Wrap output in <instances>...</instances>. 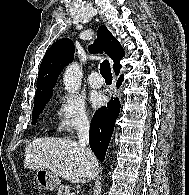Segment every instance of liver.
Instances as JSON below:
<instances>
[{
    "label": "liver",
    "mask_w": 189,
    "mask_h": 195,
    "mask_svg": "<svg viewBox=\"0 0 189 195\" xmlns=\"http://www.w3.org/2000/svg\"><path fill=\"white\" fill-rule=\"evenodd\" d=\"M24 166L49 169L70 182L84 184L96 177L98 160L77 141L43 137L26 145Z\"/></svg>",
    "instance_id": "liver-1"
}]
</instances>
